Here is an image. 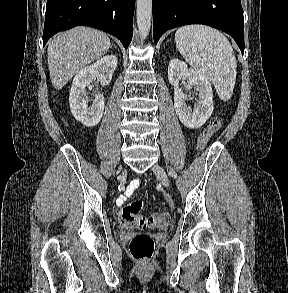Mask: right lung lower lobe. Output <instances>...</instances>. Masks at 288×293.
Here are the masks:
<instances>
[{
  "mask_svg": "<svg viewBox=\"0 0 288 293\" xmlns=\"http://www.w3.org/2000/svg\"><path fill=\"white\" fill-rule=\"evenodd\" d=\"M135 0H47L43 45L54 34L78 25L100 29L128 48Z\"/></svg>",
  "mask_w": 288,
  "mask_h": 293,
  "instance_id": "1",
  "label": "right lung lower lobe"
}]
</instances>
